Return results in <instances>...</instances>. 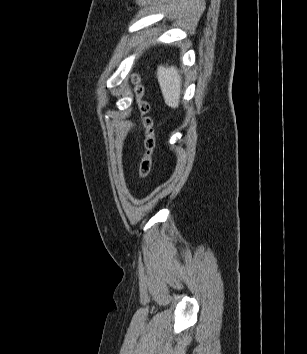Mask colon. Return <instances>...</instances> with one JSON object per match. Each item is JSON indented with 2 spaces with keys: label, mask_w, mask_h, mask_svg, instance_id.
I'll return each instance as SVG.
<instances>
[{
  "label": "colon",
  "mask_w": 307,
  "mask_h": 354,
  "mask_svg": "<svg viewBox=\"0 0 307 354\" xmlns=\"http://www.w3.org/2000/svg\"><path fill=\"white\" fill-rule=\"evenodd\" d=\"M132 81L134 84V94L137 99L138 108L142 116L145 128L144 154L139 164L140 178H146L152 171L153 154L156 147V137L152 117L150 116V104L146 99L145 87L141 83L138 73H133Z\"/></svg>",
  "instance_id": "obj_1"
}]
</instances>
